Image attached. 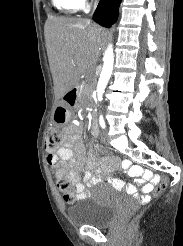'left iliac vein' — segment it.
<instances>
[{"mask_svg": "<svg viewBox=\"0 0 183 246\" xmlns=\"http://www.w3.org/2000/svg\"><path fill=\"white\" fill-rule=\"evenodd\" d=\"M101 138H102L103 143H105L106 145L109 144L108 133L106 130L101 134Z\"/></svg>", "mask_w": 183, "mask_h": 246, "instance_id": "1", "label": "left iliac vein"}]
</instances>
